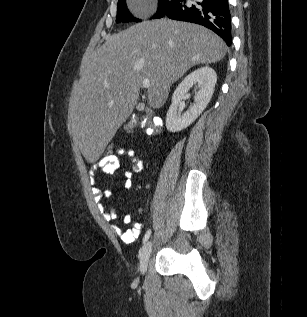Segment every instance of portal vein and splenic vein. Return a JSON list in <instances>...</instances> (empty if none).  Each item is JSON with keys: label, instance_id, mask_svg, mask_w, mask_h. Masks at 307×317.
<instances>
[{"label": "portal vein and splenic vein", "instance_id": "portal-vein-and-splenic-vein-1", "mask_svg": "<svg viewBox=\"0 0 307 317\" xmlns=\"http://www.w3.org/2000/svg\"><path fill=\"white\" fill-rule=\"evenodd\" d=\"M142 86L144 88H149L150 87V80L149 79H144L142 82Z\"/></svg>", "mask_w": 307, "mask_h": 317}]
</instances>
